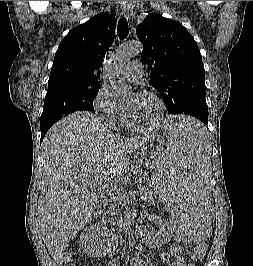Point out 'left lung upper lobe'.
I'll return each mask as SVG.
<instances>
[{
	"instance_id": "5c2ea615",
	"label": "left lung upper lobe",
	"mask_w": 253,
	"mask_h": 266,
	"mask_svg": "<svg viewBox=\"0 0 253 266\" xmlns=\"http://www.w3.org/2000/svg\"><path fill=\"white\" fill-rule=\"evenodd\" d=\"M136 33L151 72L149 84L162 95L168 114L190 115L207 124L205 70L192 35L158 13L148 14Z\"/></svg>"
}]
</instances>
